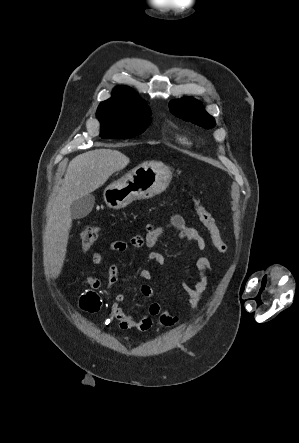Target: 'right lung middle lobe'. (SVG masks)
<instances>
[{"label": "right lung middle lobe", "instance_id": "obj_1", "mask_svg": "<svg viewBox=\"0 0 299 443\" xmlns=\"http://www.w3.org/2000/svg\"><path fill=\"white\" fill-rule=\"evenodd\" d=\"M148 108L120 103H101L96 116L101 122L100 136L104 139H128L145 131L150 124Z\"/></svg>", "mask_w": 299, "mask_h": 443}]
</instances>
